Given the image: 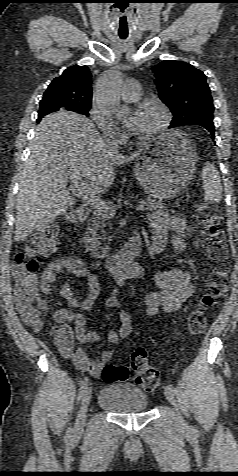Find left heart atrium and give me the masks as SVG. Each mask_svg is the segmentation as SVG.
I'll return each mask as SVG.
<instances>
[{
    "label": "left heart atrium",
    "instance_id": "1",
    "mask_svg": "<svg viewBox=\"0 0 238 476\" xmlns=\"http://www.w3.org/2000/svg\"><path fill=\"white\" fill-rule=\"evenodd\" d=\"M139 120H140V115L137 112H135L126 119L125 124L130 131L135 132L137 125L139 123Z\"/></svg>",
    "mask_w": 238,
    "mask_h": 476
}]
</instances>
